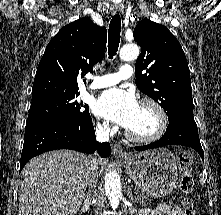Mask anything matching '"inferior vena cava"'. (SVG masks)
<instances>
[{"instance_id":"602c4592","label":"inferior vena cava","mask_w":221,"mask_h":215,"mask_svg":"<svg viewBox=\"0 0 221 215\" xmlns=\"http://www.w3.org/2000/svg\"><path fill=\"white\" fill-rule=\"evenodd\" d=\"M96 137L99 142H107L109 141V131L107 128H98L96 130ZM91 163V173L90 177L88 180V192L86 194V201L88 202L91 200L92 195L95 193V187L97 184V178H98V173H97V159L94 158L90 161Z\"/></svg>"}]
</instances>
